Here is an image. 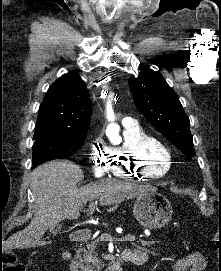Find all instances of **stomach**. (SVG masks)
<instances>
[{
	"mask_svg": "<svg viewBox=\"0 0 221 271\" xmlns=\"http://www.w3.org/2000/svg\"><path fill=\"white\" fill-rule=\"evenodd\" d=\"M134 217L143 227L158 229L169 223L172 217V205L161 193H139L133 205Z\"/></svg>",
	"mask_w": 221,
	"mask_h": 271,
	"instance_id": "1",
	"label": "stomach"
}]
</instances>
